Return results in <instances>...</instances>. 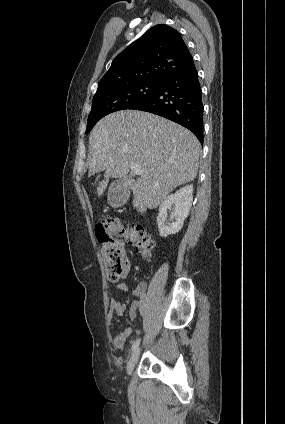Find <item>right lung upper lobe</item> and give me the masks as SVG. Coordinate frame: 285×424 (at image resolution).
Segmentation results:
<instances>
[{"instance_id": "cb5924a9", "label": "right lung upper lobe", "mask_w": 285, "mask_h": 424, "mask_svg": "<svg viewBox=\"0 0 285 424\" xmlns=\"http://www.w3.org/2000/svg\"><path fill=\"white\" fill-rule=\"evenodd\" d=\"M192 61L177 30L155 25L113 60L97 91L139 81H164Z\"/></svg>"}]
</instances>
